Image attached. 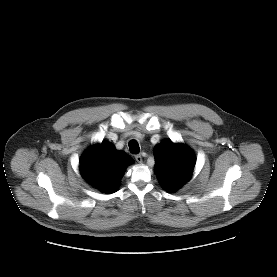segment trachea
Listing matches in <instances>:
<instances>
[{
    "label": "trachea",
    "mask_w": 277,
    "mask_h": 277,
    "mask_svg": "<svg viewBox=\"0 0 277 277\" xmlns=\"http://www.w3.org/2000/svg\"><path fill=\"white\" fill-rule=\"evenodd\" d=\"M128 145L131 153H139L140 148L136 140H131Z\"/></svg>",
    "instance_id": "obj_1"
}]
</instances>
